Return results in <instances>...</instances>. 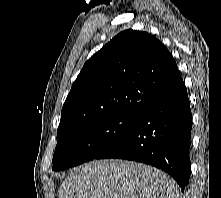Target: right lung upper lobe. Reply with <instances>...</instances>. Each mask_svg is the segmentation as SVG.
<instances>
[{
    "mask_svg": "<svg viewBox=\"0 0 221 198\" xmlns=\"http://www.w3.org/2000/svg\"><path fill=\"white\" fill-rule=\"evenodd\" d=\"M181 82L164 44L147 32L123 31L84 64L63 105L57 136L110 115H140Z\"/></svg>",
    "mask_w": 221,
    "mask_h": 198,
    "instance_id": "right-lung-upper-lobe-1",
    "label": "right lung upper lobe"
}]
</instances>
